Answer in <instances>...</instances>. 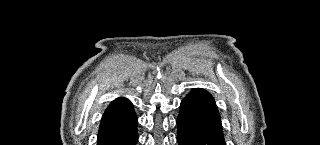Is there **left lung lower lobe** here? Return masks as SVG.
<instances>
[{"instance_id":"obj_1","label":"left lung lower lobe","mask_w":320,"mask_h":145,"mask_svg":"<svg viewBox=\"0 0 320 145\" xmlns=\"http://www.w3.org/2000/svg\"><path fill=\"white\" fill-rule=\"evenodd\" d=\"M179 145H226L212 95L195 88L182 100L177 119Z\"/></svg>"}]
</instances>
